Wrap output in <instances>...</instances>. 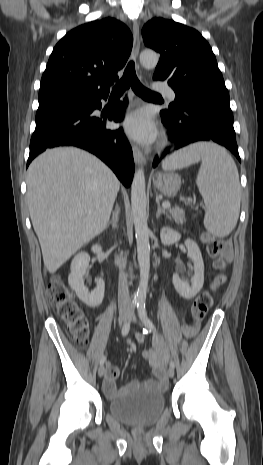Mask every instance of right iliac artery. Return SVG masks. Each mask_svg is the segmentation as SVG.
<instances>
[{"instance_id":"right-iliac-artery-1","label":"right iliac artery","mask_w":263,"mask_h":465,"mask_svg":"<svg viewBox=\"0 0 263 465\" xmlns=\"http://www.w3.org/2000/svg\"><path fill=\"white\" fill-rule=\"evenodd\" d=\"M136 305H137L136 302H133V304H132V311L134 310V308L136 307ZM129 330H130V319H128L127 321H125V323L123 324L122 331H121L122 335H123V336H126V335L128 334V332H129ZM105 361H106V356L103 355V356L101 357V359H100V364L103 365V364L105 363Z\"/></svg>"}]
</instances>
